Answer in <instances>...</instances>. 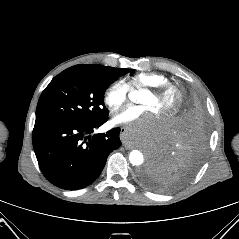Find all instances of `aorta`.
<instances>
[{"label":"aorta","instance_id":"obj_1","mask_svg":"<svg viewBox=\"0 0 239 239\" xmlns=\"http://www.w3.org/2000/svg\"><path fill=\"white\" fill-rule=\"evenodd\" d=\"M137 97H138L137 91H132L129 93V99L131 101L133 102L136 101ZM129 161L134 166H140L144 163V155L139 150H133L129 154Z\"/></svg>","mask_w":239,"mask_h":239}]
</instances>
